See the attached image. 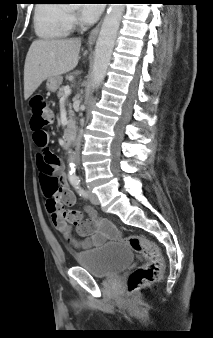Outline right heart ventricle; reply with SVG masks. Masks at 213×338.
I'll return each mask as SVG.
<instances>
[{
	"instance_id": "obj_1",
	"label": "right heart ventricle",
	"mask_w": 213,
	"mask_h": 338,
	"mask_svg": "<svg viewBox=\"0 0 213 338\" xmlns=\"http://www.w3.org/2000/svg\"><path fill=\"white\" fill-rule=\"evenodd\" d=\"M35 31L44 39H61L68 35L66 10L58 4H37L35 8Z\"/></svg>"
}]
</instances>
